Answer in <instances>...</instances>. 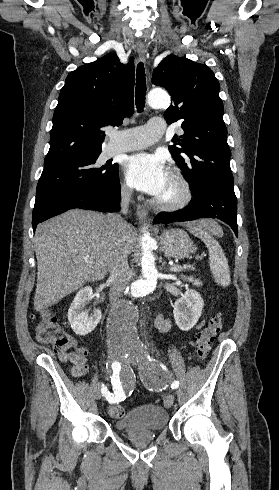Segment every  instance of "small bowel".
I'll return each mask as SVG.
<instances>
[{
	"label": "small bowel",
	"instance_id": "small-bowel-1",
	"mask_svg": "<svg viewBox=\"0 0 279 490\" xmlns=\"http://www.w3.org/2000/svg\"><path fill=\"white\" fill-rule=\"evenodd\" d=\"M171 323L168 319L159 316L156 320V327L161 332H166L170 329ZM59 359L63 363H67L71 366V374L75 377H82L89 372L88 366V350L74 343V350L71 352H61Z\"/></svg>",
	"mask_w": 279,
	"mask_h": 490
}]
</instances>
